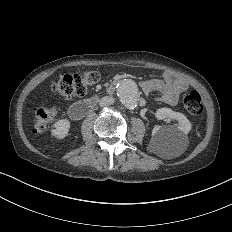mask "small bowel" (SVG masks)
Listing matches in <instances>:
<instances>
[{"label": "small bowel", "mask_w": 232, "mask_h": 232, "mask_svg": "<svg viewBox=\"0 0 232 232\" xmlns=\"http://www.w3.org/2000/svg\"><path fill=\"white\" fill-rule=\"evenodd\" d=\"M140 87L145 94H150L155 90L159 91V99L162 102L175 103L178 101L179 94L186 89L187 83L173 75H166L160 80H142Z\"/></svg>", "instance_id": "obj_1"}]
</instances>
